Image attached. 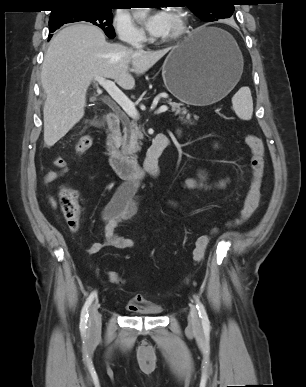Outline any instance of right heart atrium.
<instances>
[{
    "instance_id": "d8ad5b80",
    "label": "right heart atrium",
    "mask_w": 306,
    "mask_h": 387,
    "mask_svg": "<svg viewBox=\"0 0 306 387\" xmlns=\"http://www.w3.org/2000/svg\"><path fill=\"white\" fill-rule=\"evenodd\" d=\"M113 26L118 38L124 43L136 45L145 39L144 32L134 23L127 13H117L113 20Z\"/></svg>"
}]
</instances>
